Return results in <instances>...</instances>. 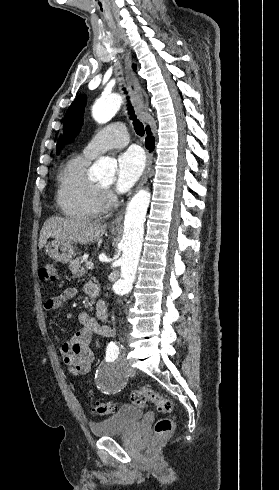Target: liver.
<instances>
[{
	"mask_svg": "<svg viewBox=\"0 0 279 490\" xmlns=\"http://www.w3.org/2000/svg\"><path fill=\"white\" fill-rule=\"evenodd\" d=\"M107 230L106 224H96L89 220H64V218H48L40 232L38 248H44L48 238L70 244H89L97 242Z\"/></svg>",
	"mask_w": 279,
	"mask_h": 490,
	"instance_id": "6515ba94",
	"label": "liver"
}]
</instances>
